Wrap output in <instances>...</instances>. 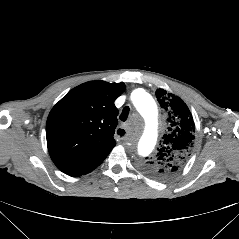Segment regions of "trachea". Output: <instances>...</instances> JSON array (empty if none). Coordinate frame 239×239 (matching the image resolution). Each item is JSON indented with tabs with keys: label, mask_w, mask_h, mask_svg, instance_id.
I'll return each instance as SVG.
<instances>
[{
	"label": "trachea",
	"mask_w": 239,
	"mask_h": 239,
	"mask_svg": "<svg viewBox=\"0 0 239 239\" xmlns=\"http://www.w3.org/2000/svg\"><path fill=\"white\" fill-rule=\"evenodd\" d=\"M129 111H130V109H129L128 106L124 107V109L122 110V113L119 117L121 121H126L127 120V117L129 115Z\"/></svg>",
	"instance_id": "obj_1"
}]
</instances>
